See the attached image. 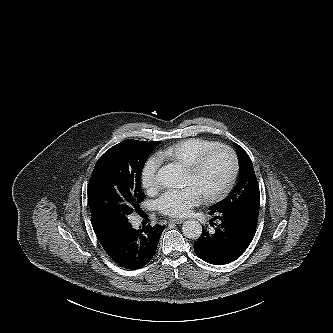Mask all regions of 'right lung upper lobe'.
<instances>
[{"label": "right lung upper lobe", "instance_id": "right-lung-upper-lobe-1", "mask_svg": "<svg viewBox=\"0 0 333 333\" xmlns=\"http://www.w3.org/2000/svg\"><path fill=\"white\" fill-rule=\"evenodd\" d=\"M115 228H118V227L106 228V229H94V231H95L96 236L98 238V237H101V236L109 235L112 232V230H114Z\"/></svg>", "mask_w": 333, "mask_h": 333}]
</instances>
